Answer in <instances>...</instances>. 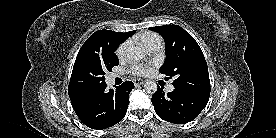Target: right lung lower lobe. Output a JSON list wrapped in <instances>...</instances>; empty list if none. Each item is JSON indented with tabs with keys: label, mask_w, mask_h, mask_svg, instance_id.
<instances>
[{
	"label": "right lung lower lobe",
	"mask_w": 276,
	"mask_h": 138,
	"mask_svg": "<svg viewBox=\"0 0 276 138\" xmlns=\"http://www.w3.org/2000/svg\"><path fill=\"white\" fill-rule=\"evenodd\" d=\"M107 85L85 92L77 108H73L79 119L92 129H106L120 122L129 104V94L134 88L126 81L115 90H106Z\"/></svg>",
	"instance_id": "right-lung-lower-lobe-1"
}]
</instances>
